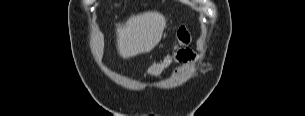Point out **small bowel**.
Listing matches in <instances>:
<instances>
[{
    "label": "small bowel",
    "mask_w": 305,
    "mask_h": 116,
    "mask_svg": "<svg viewBox=\"0 0 305 116\" xmlns=\"http://www.w3.org/2000/svg\"><path fill=\"white\" fill-rule=\"evenodd\" d=\"M195 57L196 55L191 50L186 49L185 55L177 59L179 65L173 70V73H177L178 71L185 69L187 66H189L192 63Z\"/></svg>",
    "instance_id": "1"
}]
</instances>
